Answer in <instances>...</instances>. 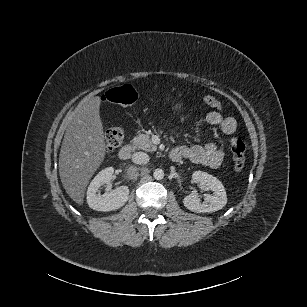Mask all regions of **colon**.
Returning a JSON list of instances; mask_svg holds the SVG:
<instances>
[{
	"mask_svg": "<svg viewBox=\"0 0 307 307\" xmlns=\"http://www.w3.org/2000/svg\"><path fill=\"white\" fill-rule=\"evenodd\" d=\"M105 103L132 106L137 100V93L131 85H122L109 89L103 96ZM202 101L209 107L221 109L222 104L219 99L211 95L202 97ZM125 131L121 127L110 128L105 136V146L108 151L118 148L124 141ZM233 164L236 171H241L246 163L245 144L240 139L232 143Z\"/></svg>",
	"mask_w": 307,
	"mask_h": 307,
	"instance_id": "1",
	"label": "colon"
}]
</instances>
